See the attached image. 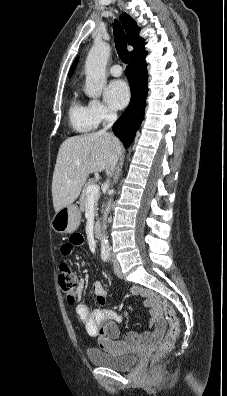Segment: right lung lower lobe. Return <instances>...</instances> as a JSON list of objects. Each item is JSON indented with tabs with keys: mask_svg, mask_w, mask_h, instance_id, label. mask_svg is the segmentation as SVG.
I'll use <instances>...</instances> for the list:
<instances>
[{
	"mask_svg": "<svg viewBox=\"0 0 227 396\" xmlns=\"http://www.w3.org/2000/svg\"><path fill=\"white\" fill-rule=\"evenodd\" d=\"M146 55L147 51L143 47L130 56L126 76L130 84L131 100L125 112L113 125L115 135L120 138L126 148L132 143L144 115L148 92Z\"/></svg>",
	"mask_w": 227,
	"mask_h": 396,
	"instance_id": "obj_1",
	"label": "right lung lower lobe"
}]
</instances>
